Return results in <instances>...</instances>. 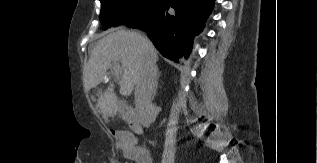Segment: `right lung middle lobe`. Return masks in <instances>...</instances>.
Masks as SVG:
<instances>
[{
	"label": "right lung middle lobe",
	"instance_id": "obj_1",
	"mask_svg": "<svg viewBox=\"0 0 317 163\" xmlns=\"http://www.w3.org/2000/svg\"><path fill=\"white\" fill-rule=\"evenodd\" d=\"M99 19L106 28L129 24L149 15L162 0H100Z\"/></svg>",
	"mask_w": 317,
	"mask_h": 163
}]
</instances>
